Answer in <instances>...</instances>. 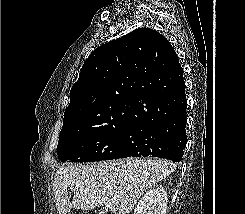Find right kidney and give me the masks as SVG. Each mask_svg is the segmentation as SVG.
Returning a JSON list of instances; mask_svg holds the SVG:
<instances>
[{
	"instance_id": "obj_1",
	"label": "right kidney",
	"mask_w": 245,
	"mask_h": 214,
	"mask_svg": "<svg viewBox=\"0 0 245 214\" xmlns=\"http://www.w3.org/2000/svg\"><path fill=\"white\" fill-rule=\"evenodd\" d=\"M168 195L164 188L150 189L138 202L134 214H166Z\"/></svg>"
}]
</instances>
